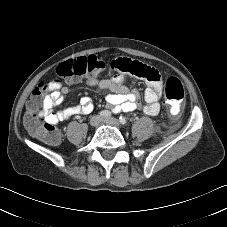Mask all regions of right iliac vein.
<instances>
[{"instance_id":"63e3f726","label":"right iliac vein","mask_w":227,"mask_h":227,"mask_svg":"<svg viewBox=\"0 0 227 227\" xmlns=\"http://www.w3.org/2000/svg\"><path fill=\"white\" fill-rule=\"evenodd\" d=\"M100 121H101L100 116L96 115V116H93V117L90 119L89 123H90L91 126L94 127V126H97V125L100 123Z\"/></svg>"}]
</instances>
